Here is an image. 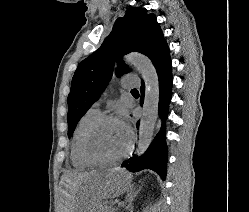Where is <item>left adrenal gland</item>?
I'll use <instances>...</instances> for the list:
<instances>
[{"label": "left adrenal gland", "instance_id": "left-adrenal-gland-1", "mask_svg": "<svg viewBox=\"0 0 249 212\" xmlns=\"http://www.w3.org/2000/svg\"><path fill=\"white\" fill-rule=\"evenodd\" d=\"M139 192H140V190H136V192H130V194H128V202H127L126 210H130V208H133L132 202H133L135 196H137V194H139Z\"/></svg>", "mask_w": 249, "mask_h": 212}]
</instances>
